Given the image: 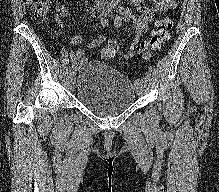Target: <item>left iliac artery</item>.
<instances>
[{
  "label": "left iliac artery",
  "instance_id": "left-iliac-artery-1",
  "mask_svg": "<svg viewBox=\"0 0 219 192\" xmlns=\"http://www.w3.org/2000/svg\"><path fill=\"white\" fill-rule=\"evenodd\" d=\"M145 75H146L147 77L151 78V72H150V71H147V72L145 73Z\"/></svg>",
  "mask_w": 219,
  "mask_h": 192
}]
</instances>
